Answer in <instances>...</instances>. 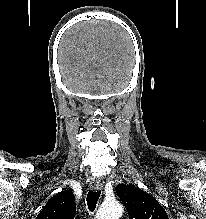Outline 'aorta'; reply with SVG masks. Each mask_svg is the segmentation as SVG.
I'll return each instance as SVG.
<instances>
[{
  "label": "aorta",
  "mask_w": 206,
  "mask_h": 219,
  "mask_svg": "<svg viewBox=\"0 0 206 219\" xmlns=\"http://www.w3.org/2000/svg\"><path fill=\"white\" fill-rule=\"evenodd\" d=\"M122 212V205L118 201L104 203L97 211L96 219H119Z\"/></svg>",
  "instance_id": "aorta-1"
}]
</instances>
